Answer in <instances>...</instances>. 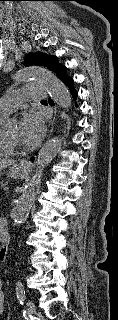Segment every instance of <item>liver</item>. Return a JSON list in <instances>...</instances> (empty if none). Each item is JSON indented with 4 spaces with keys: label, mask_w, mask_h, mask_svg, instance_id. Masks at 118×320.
Segmentation results:
<instances>
[{
    "label": "liver",
    "mask_w": 118,
    "mask_h": 320,
    "mask_svg": "<svg viewBox=\"0 0 118 320\" xmlns=\"http://www.w3.org/2000/svg\"><path fill=\"white\" fill-rule=\"evenodd\" d=\"M15 160L13 159H0V171L10 165L15 164Z\"/></svg>",
    "instance_id": "1"
}]
</instances>
